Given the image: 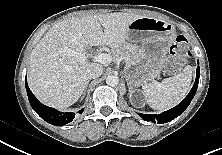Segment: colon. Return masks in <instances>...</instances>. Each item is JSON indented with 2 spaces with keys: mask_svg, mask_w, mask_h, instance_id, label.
Segmentation results:
<instances>
[{
  "mask_svg": "<svg viewBox=\"0 0 222 155\" xmlns=\"http://www.w3.org/2000/svg\"><path fill=\"white\" fill-rule=\"evenodd\" d=\"M189 56L190 50L187 39L182 35L177 36L170 47V56L166 63L167 71L171 73L179 71Z\"/></svg>",
  "mask_w": 222,
  "mask_h": 155,
  "instance_id": "5ec220e1",
  "label": "colon"
}]
</instances>
